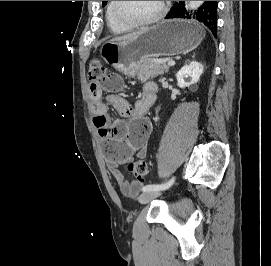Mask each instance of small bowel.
Returning <instances> with one entry per match:
<instances>
[{
	"label": "small bowel",
	"mask_w": 271,
	"mask_h": 266,
	"mask_svg": "<svg viewBox=\"0 0 271 266\" xmlns=\"http://www.w3.org/2000/svg\"><path fill=\"white\" fill-rule=\"evenodd\" d=\"M122 88L121 77L112 73L102 77L99 82H92L89 85V95L93 124L103 142L108 170L121 192L130 196L138 192L141 182L127 181L119 166L131 160L134 154L139 157L146 154L150 126L145 120V115L155 102L156 95H151V91L157 87L154 83H146L142 97L134 105L118 94ZM104 91L109 93L105 98ZM107 104H110L123 119L110 122Z\"/></svg>",
	"instance_id": "small-bowel-1"
}]
</instances>
